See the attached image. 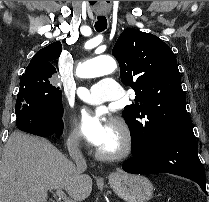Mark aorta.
Instances as JSON below:
<instances>
[{
  "instance_id": "obj_1",
  "label": "aorta",
  "mask_w": 209,
  "mask_h": 202,
  "mask_svg": "<svg viewBox=\"0 0 209 202\" xmlns=\"http://www.w3.org/2000/svg\"><path fill=\"white\" fill-rule=\"evenodd\" d=\"M117 68L116 61L111 56H99L80 64L77 76L80 78H95L113 73Z\"/></svg>"
}]
</instances>
